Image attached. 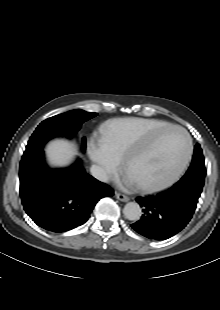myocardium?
<instances>
[{"label":"myocardium","instance_id":"obj_1","mask_svg":"<svg viewBox=\"0 0 220 310\" xmlns=\"http://www.w3.org/2000/svg\"><path fill=\"white\" fill-rule=\"evenodd\" d=\"M169 131H173V132H178L180 134H182L186 140V151H185V155L184 158L181 162V164L179 165V167L177 168V170L165 181L160 182L156 185H153L151 187H145L143 188V190L145 191H156V190H160V189H164L168 186H170L180 175V173L183 171V169L185 168V166L187 165L190 155H191V151H192V140L191 137L189 136V134L182 128L180 127H176V126H167L165 128H163L162 130H160V133H165V132H169ZM134 159V153L131 152L129 153L123 160V169L125 171L128 170V167L130 165V163L133 161Z\"/></svg>","mask_w":220,"mask_h":310}]
</instances>
